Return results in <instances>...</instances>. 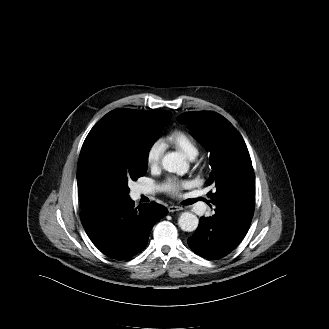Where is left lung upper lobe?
<instances>
[{
	"label": "left lung upper lobe",
	"instance_id": "5c2ea615",
	"mask_svg": "<svg viewBox=\"0 0 329 329\" xmlns=\"http://www.w3.org/2000/svg\"><path fill=\"white\" fill-rule=\"evenodd\" d=\"M193 138L210 152L212 172L207 185L215 192L207 195L213 205L228 201L249 184L254 171L246 144L236 128L223 116L212 111H191L178 116Z\"/></svg>",
	"mask_w": 329,
	"mask_h": 329
}]
</instances>
